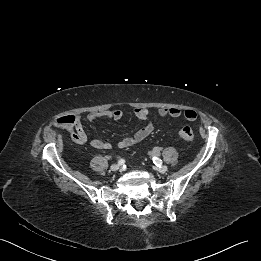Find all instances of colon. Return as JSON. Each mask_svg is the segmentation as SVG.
<instances>
[{"label": "colon", "instance_id": "1", "mask_svg": "<svg viewBox=\"0 0 261 261\" xmlns=\"http://www.w3.org/2000/svg\"><path fill=\"white\" fill-rule=\"evenodd\" d=\"M75 119L73 115H62L55 119V124L62 126V127H69L73 125ZM179 139L191 142L194 139V132L191 127L184 126L178 132Z\"/></svg>", "mask_w": 261, "mask_h": 261}]
</instances>
